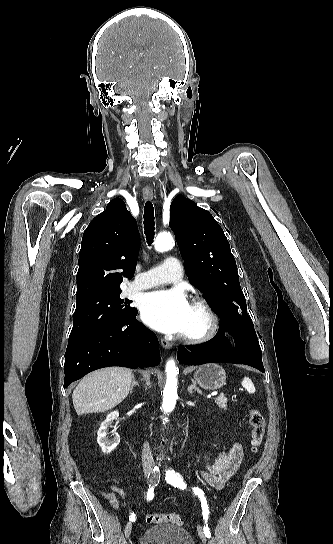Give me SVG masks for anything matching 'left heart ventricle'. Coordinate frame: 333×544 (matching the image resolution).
Returning <instances> with one entry per match:
<instances>
[{
    "mask_svg": "<svg viewBox=\"0 0 333 544\" xmlns=\"http://www.w3.org/2000/svg\"><path fill=\"white\" fill-rule=\"evenodd\" d=\"M206 326V318L203 312L191 305L189 319L183 333L195 334L201 332Z\"/></svg>",
    "mask_w": 333,
    "mask_h": 544,
    "instance_id": "obj_1",
    "label": "left heart ventricle"
}]
</instances>
